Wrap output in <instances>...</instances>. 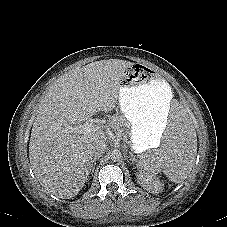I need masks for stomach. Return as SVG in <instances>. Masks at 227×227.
Listing matches in <instances>:
<instances>
[{
  "mask_svg": "<svg viewBox=\"0 0 227 227\" xmlns=\"http://www.w3.org/2000/svg\"><path fill=\"white\" fill-rule=\"evenodd\" d=\"M172 90L142 64H132L120 81L119 108L129 123L131 148L142 153L159 144L168 129Z\"/></svg>",
  "mask_w": 227,
  "mask_h": 227,
  "instance_id": "obj_1",
  "label": "stomach"
}]
</instances>
